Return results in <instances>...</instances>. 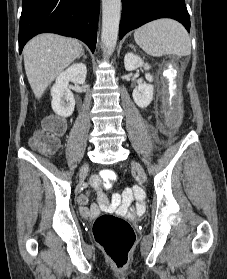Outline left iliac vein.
<instances>
[{
  "mask_svg": "<svg viewBox=\"0 0 227 279\" xmlns=\"http://www.w3.org/2000/svg\"><path fill=\"white\" fill-rule=\"evenodd\" d=\"M133 168L137 171L139 174L140 178L145 182L147 180V175L144 171V169L138 164L137 162L133 161L132 162Z\"/></svg>",
  "mask_w": 227,
  "mask_h": 279,
  "instance_id": "4c4485c4",
  "label": "left iliac vein"
}]
</instances>
